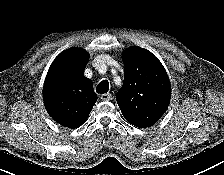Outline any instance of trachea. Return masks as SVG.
<instances>
[{
	"label": "trachea",
	"instance_id": "1",
	"mask_svg": "<svg viewBox=\"0 0 224 175\" xmlns=\"http://www.w3.org/2000/svg\"><path fill=\"white\" fill-rule=\"evenodd\" d=\"M108 90H109V83H108V81L107 80H102L98 84L96 92L100 93V94H104V93H107Z\"/></svg>",
	"mask_w": 224,
	"mask_h": 175
}]
</instances>
